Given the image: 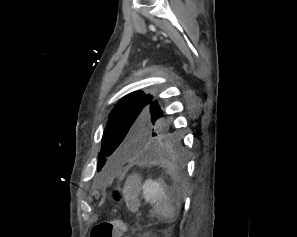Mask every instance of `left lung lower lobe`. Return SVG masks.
I'll return each mask as SVG.
<instances>
[{
    "label": "left lung lower lobe",
    "instance_id": "obj_1",
    "mask_svg": "<svg viewBox=\"0 0 297 237\" xmlns=\"http://www.w3.org/2000/svg\"><path fill=\"white\" fill-rule=\"evenodd\" d=\"M174 132L175 130L168 128L163 130L152 143L150 153L146 157L156 158L169 154L181 156L183 154V145L179 136Z\"/></svg>",
    "mask_w": 297,
    "mask_h": 237
}]
</instances>
